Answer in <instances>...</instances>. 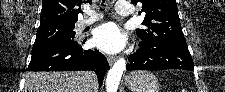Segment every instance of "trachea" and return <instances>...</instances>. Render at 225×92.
<instances>
[{
    "label": "trachea",
    "mask_w": 225,
    "mask_h": 92,
    "mask_svg": "<svg viewBox=\"0 0 225 92\" xmlns=\"http://www.w3.org/2000/svg\"><path fill=\"white\" fill-rule=\"evenodd\" d=\"M102 2L104 3L105 1H104V0H102ZM103 3H102V5H103Z\"/></svg>",
    "instance_id": "obj_1"
}]
</instances>
